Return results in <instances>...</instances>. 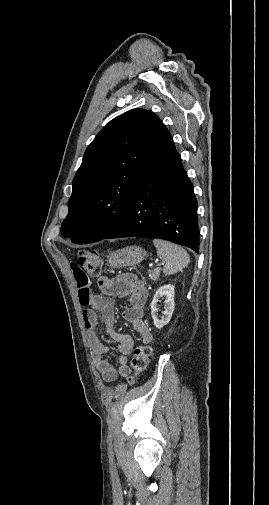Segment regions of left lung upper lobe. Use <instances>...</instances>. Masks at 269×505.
<instances>
[{
  "mask_svg": "<svg viewBox=\"0 0 269 505\" xmlns=\"http://www.w3.org/2000/svg\"><path fill=\"white\" fill-rule=\"evenodd\" d=\"M162 125L153 112L133 109L97 134L72 182L69 212L61 225L64 237L92 243L117 226Z\"/></svg>",
  "mask_w": 269,
  "mask_h": 505,
  "instance_id": "1",
  "label": "left lung upper lobe"
}]
</instances>
